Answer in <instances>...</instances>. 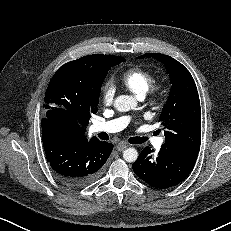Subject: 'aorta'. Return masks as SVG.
<instances>
[{"mask_svg": "<svg viewBox=\"0 0 231 231\" xmlns=\"http://www.w3.org/2000/svg\"><path fill=\"white\" fill-rule=\"evenodd\" d=\"M136 105L135 98L129 95H120L114 101V107L119 112L135 109ZM123 158L126 162H135L138 158V151L135 148H128L123 152Z\"/></svg>", "mask_w": 231, "mask_h": 231, "instance_id": "762f6f07", "label": "aorta"}]
</instances>
